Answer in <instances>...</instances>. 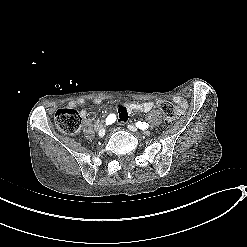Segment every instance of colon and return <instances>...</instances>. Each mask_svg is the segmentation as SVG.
<instances>
[{
  "label": "colon",
  "instance_id": "colon-1",
  "mask_svg": "<svg viewBox=\"0 0 247 247\" xmlns=\"http://www.w3.org/2000/svg\"><path fill=\"white\" fill-rule=\"evenodd\" d=\"M158 108L167 123L174 122L177 112L171 103L161 100L158 102ZM55 122L61 131L67 134H73L80 128L81 116L79 112L73 108L67 107L58 109L55 113Z\"/></svg>",
  "mask_w": 247,
  "mask_h": 247
}]
</instances>
